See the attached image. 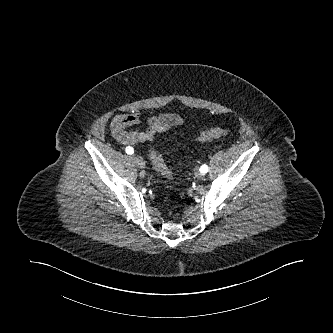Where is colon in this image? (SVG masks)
Returning a JSON list of instances; mask_svg holds the SVG:
<instances>
[{
	"label": "colon",
	"mask_w": 333,
	"mask_h": 333,
	"mask_svg": "<svg viewBox=\"0 0 333 333\" xmlns=\"http://www.w3.org/2000/svg\"><path fill=\"white\" fill-rule=\"evenodd\" d=\"M228 134H229L228 129L220 128V127H213V128H210V129L205 130L202 133H200V135L197 137V140H199L201 142H205V141H210V140L225 137ZM150 156H151L154 168L158 172H160L163 176H165L166 178H171L172 172L165 164V161L163 160L159 151L157 149L151 150Z\"/></svg>",
	"instance_id": "colon-1"
}]
</instances>
